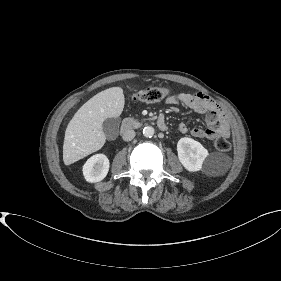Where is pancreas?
Segmentation results:
<instances>
[{"label":"pancreas","instance_id":"cf45deb5","mask_svg":"<svg viewBox=\"0 0 281 281\" xmlns=\"http://www.w3.org/2000/svg\"><path fill=\"white\" fill-rule=\"evenodd\" d=\"M124 125H126L127 127H138L140 125V123L138 122L137 119L129 117V118H125L123 120Z\"/></svg>","mask_w":281,"mask_h":281}]
</instances>
